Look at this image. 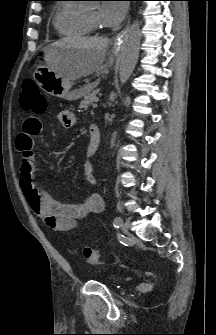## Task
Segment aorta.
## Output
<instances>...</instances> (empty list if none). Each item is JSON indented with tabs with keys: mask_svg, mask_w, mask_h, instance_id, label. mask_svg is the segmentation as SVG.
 Masks as SVG:
<instances>
[{
	"mask_svg": "<svg viewBox=\"0 0 216 335\" xmlns=\"http://www.w3.org/2000/svg\"><path fill=\"white\" fill-rule=\"evenodd\" d=\"M141 32L138 21L128 29L122 43V50L119 63V79L124 85L132 75L139 56Z\"/></svg>",
	"mask_w": 216,
	"mask_h": 335,
	"instance_id": "1",
	"label": "aorta"
}]
</instances>
